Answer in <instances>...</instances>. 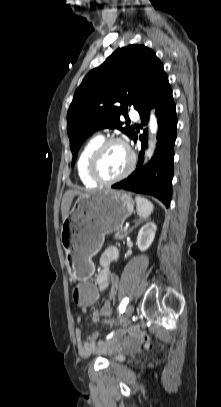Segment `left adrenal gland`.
<instances>
[{"label": "left adrenal gland", "mask_w": 221, "mask_h": 407, "mask_svg": "<svg viewBox=\"0 0 221 407\" xmlns=\"http://www.w3.org/2000/svg\"><path fill=\"white\" fill-rule=\"evenodd\" d=\"M141 222H142V220H136L134 227H136V226H137L138 224H140Z\"/></svg>", "instance_id": "a2214340"}]
</instances>
